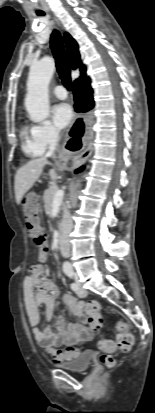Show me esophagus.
Wrapping results in <instances>:
<instances>
[{
    "label": "esophagus",
    "instance_id": "obj_1",
    "mask_svg": "<svg viewBox=\"0 0 155 413\" xmlns=\"http://www.w3.org/2000/svg\"><path fill=\"white\" fill-rule=\"evenodd\" d=\"M78 117H79V115L76 118H78ZM62 150H63L64 155H66V153L69 152L71 149H69L68 146H66V143H65L62 147ZM92 150H93V148H92L91 144H88V146L86 147V149L82 153H80L79 155H76L74 157L72 167L76 168V167L82 165L89 158V156L92 154ZM71 151H74V150H71Z\"/></svg>",
    "mask_w": 155,
    "mask_h": 413
}]
</instances>
